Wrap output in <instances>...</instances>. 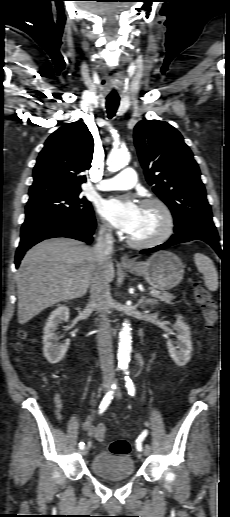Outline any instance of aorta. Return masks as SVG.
I'll return each mask as SVG.
<instances>
[{"label": "aorta", "instance_id": "762f6f07", "mask_svg": "<svg viewBox=\"0 0 230 517\" xmlns=\"http://www.w3.org/2000/svg\"><path fill=\"white\" fill-rule=\"evenodd\" d=\"M130 161V154L125 150H112L107 159V166L109 171H117L128 165ZM132 351V337L131 328L128 321L123 323V327L119 333V347H118V367L126 369L130 362V355Z\"/></svg>", "mask_w": 230, "mask_h": 517}]
</instances>
